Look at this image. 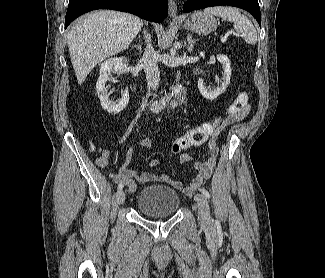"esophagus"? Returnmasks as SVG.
<instances>
[{
	"mask_svg": "<svg viewBox=\"0 0 325 278\" xmlns=\"http://www.w3.org/2000/svg\"><path fill=\"white\" fill-rule=\"evenodd\" d=\"M168 9L170 18H172L173 20L180 19V17L178 16L177 4L174 0H169Z\"/></svg>",
	"mask_w": 325,
	"mask_h": 278,
	"instance_id": "obj_1",
	"label": "esophagus"
}]
</instances>
